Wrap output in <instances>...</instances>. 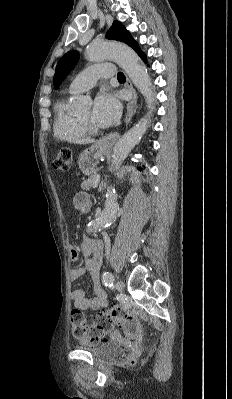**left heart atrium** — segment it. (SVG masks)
<instances>
[{"instance_id": "1", "label": "left heart atrium", "mask_w": 232, "mask_h": 399, "mask_svg": "<svg viewBox=\"0 0 232 399\" xmlns=\"http://www.w3.org/2000/svg\"><path fill=\"white\" fill-rule=\"evenodd\" d=\"M120 115L121 104L114 95L103 93L96 98L91 118L100 127L105 128L115 124Z\"/></svg>"}]
</instances>
